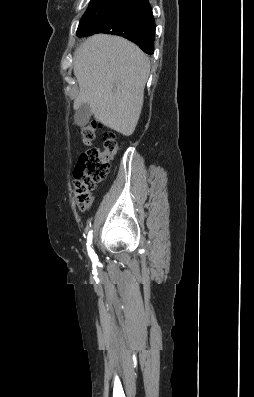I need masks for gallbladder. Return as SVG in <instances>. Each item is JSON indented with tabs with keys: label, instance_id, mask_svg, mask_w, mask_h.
I'll list each match as a JSON object with an SVG mask.
<instances>
[{
	"label": "gallbladder",
	"instance_id": "bac80fb5",
	"mask_svg": "<svg viewBox=\"0 0 254 397\" xmlns=\"http://www.w3.org/2000/svg\"><path fill=\"white\" fill-rule=\"evenodd\" d=\"M90 117V106L87 103H82L75 111L74 120L78 126L84 127L89 122Z\"/></svg>",
	"mask_w": 254,
	"mask_h": 397
}]
</instances>
